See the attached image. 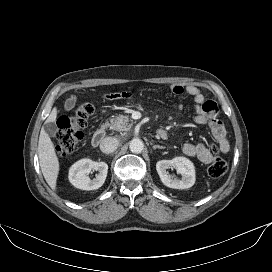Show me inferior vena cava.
Segmentation results:
<instances>
[{"label":"inferior vena cava","mask_w":272,"mask_h":272,"mask_svg":"<svg viewBox=\"0 0 272 272\" xmlns=\"http://www.w3.org/2000/svg\"><path fill=\"white\" fill-rule=\"evenodd\" d=\"M119 145V140L115 137H106L100 144V149L105 154L114 152Z\"/></svg>","instance_id":"obj_1"}]
</instances>
